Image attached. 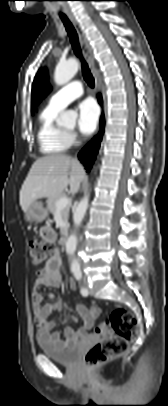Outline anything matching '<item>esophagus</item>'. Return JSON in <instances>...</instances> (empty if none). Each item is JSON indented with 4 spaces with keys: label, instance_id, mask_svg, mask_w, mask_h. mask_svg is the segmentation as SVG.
I'll list each match as a JSON object with an SVG mask.
<instances>
[{
    "label": "esophagus",
    "instance_id": "34e87169",
    "mask_svg": "<svg viewBox=\"0 0 168 406\" xmlns=\"http://www.w3.org/2000/svg\"><path fill=\"white\" fill-rule=\"evenodd\" d=\"M71 21L78 33L79 36V40H80V46L82 49V53L90 67V69L92 70L93 76H94V81H95V86L96 89L99 91V82H98V78L96 76V74L94 73L93 69H94V58L91 52V49L89 47V43L88 40L85 36L84 30L82 29V27L80 26V24L74 19L71 18Z\"/></svg>",
    "mask_w": 168,
    "mask_h": 406
}]
</instances>
